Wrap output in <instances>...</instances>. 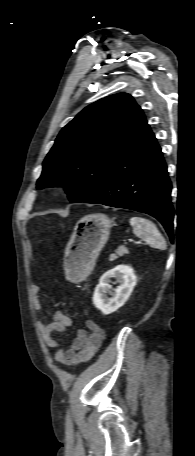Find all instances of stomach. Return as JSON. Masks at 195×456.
I'll list each match as a JSON object with an SVG mask.
<instances>
[{"label":"stomach","instance_id":"stomach-1","mask_svg":"<svg viewBox=\"0 0 195 456\" xmlns=\"http://www.w3.org/2000/svg\"><path fill=\"white\" fill-rule=\"evenodd\" d=\"M111 227L112 220L101 213L85 215L77 221L65 249V269L72 281H82L92 272Z\"/></svg>","mask_w":195,"mask_h":456}]
</instances>
